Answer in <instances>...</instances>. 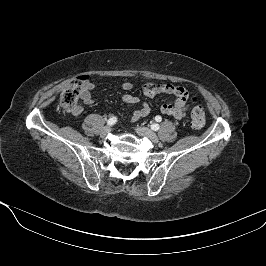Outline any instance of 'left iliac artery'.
<instances>
[{
  "label": "left iliac artery",
  "mask_w": 266,
  "mask_h": 266,
  "mask_svg": "<svg viewBox=\"0 0 266 266\" xmlns=\"http://www.w3.org/2000/svg\"><path fill=\"white\" fill-rule=\"evenodd\" d=\"M155 120H156L157 122H160V121L162 120V118H161V116H156V117H155ZM159 128H160L159 124H152V125H151V129L154 130V131L159 130Z\"/></svg>",
  "instance_id": "1"
}]
</instances>
